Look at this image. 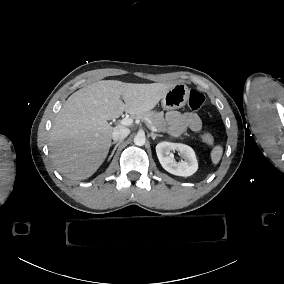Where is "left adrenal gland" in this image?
Returning a JSON list of instances; mask_svg holds the SVG:
<instances>
[{
    "label": "left adrenal gland",
    "mask_w": 284,
    "mask_h": 284,
    "mask_svg": "<svg viewBox=\"0 0 284 284\" xmlns=\"http://www.w3.org/2000/svg\"><path fill=\"white\" fill-rule=\"evenodd\" d=\"M150 135H151V137H152L153 140H155L156 137H163V135H161V134H156V133H153V132H151Z\"/></svg>",
    "instance_id": "a2214340"
}]
</instances>
